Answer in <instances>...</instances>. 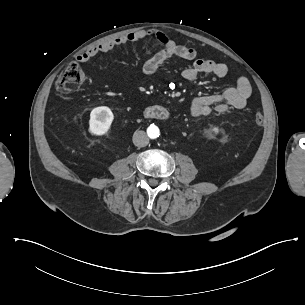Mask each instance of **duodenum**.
<instances>
[{
	"mask_svg": "<svg viewBox=\"0 0 305 305\" xmlns=\"http://www.w3.org/2000/svg\"><path fill=\"white\" fill-rule=\"evenodd\" d=\"M145 118L150 120L161 121L166 119L167 111L160 106H150L143 112Z\"/></svg>",
	"mask_w": 305,
	"mask_h": 305,
	"instance_id": "410a0bca",
	"label": "duodenum"
}]
</instances>
